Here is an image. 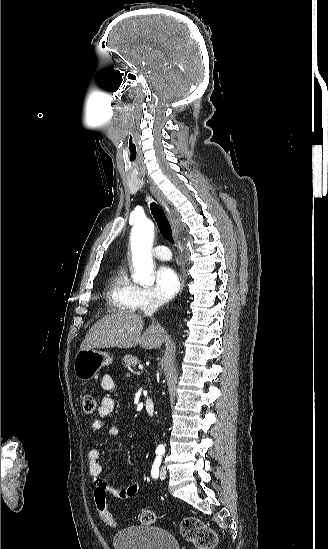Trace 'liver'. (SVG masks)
Returning <instances> with one entry per match:
<instances>
[{"label": "liver", "mask_w": 328, "mask_h": 549, "mask_svg": "<svg viewBox=\"0 0 328 549\" xmlns=\"http://www.w3.org/2000/svg\"><path fill=\"white\" fill-rule=\"evenodd\" d=\"M143 329L142 315L116 311L111 315H105L89 329L83 339L81 349H132L140 345L142 349H157L160 347L164 329L159 323H151L145 333Z\"/></svg>", "instance_id": "obj_1"}]
</instances>
